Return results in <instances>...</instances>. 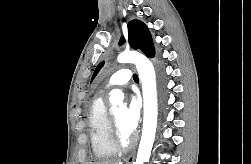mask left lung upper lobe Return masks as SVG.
I'll return each mask as SVG.
<instances>
[{
	"label": "left lung upper lobe",
	"mask_w": 251,
	"mask_h": 164,
	"mask_svg": "<svg viewBox=\"0 0 251 164\" xmlns=\"http://www.w3.org/2000/svg\"><path fill=\"white\" fill-rule=\"evenodd\" d=\"M124 42V38H121L120 44ZM128 42L129 45L135 50H141L149 58H153L155 55V50L153 46V41L151 34L147 26L139 21L132 20L128 23ZM104 62H101L95 69L92 76V80L97 75Z\"/></svg>",
	"instance_id": "obj_1"
}]
</instances>
